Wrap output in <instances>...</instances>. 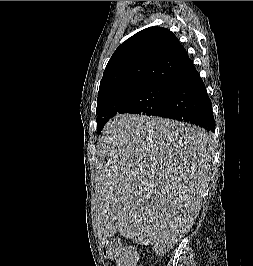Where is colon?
I'll return each instance as SVG.
<instances>
[{"mask_svg":"<svg viewBox=\"0 0 253 266\" xmlns=\"http://www.w3.org/2000/svg\"><path fill=\"white\" fill-rule=\"evenodd\" d=\"M105 255L115 266H136L135 254L115 240L107 243Z\"/></svg>","mask_w":253,"mask_h":266,"instance_id":"1","label":"colon"}]
</instances>
